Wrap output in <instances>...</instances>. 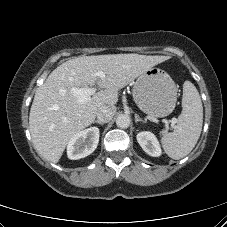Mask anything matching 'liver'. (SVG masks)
I'll return each instance as SVG.
<instances>
[{
    "instance_id": "1",
    "label": "liver",
    "mask_w": 227,
    "mask_h": 227,
    "mask_svg": "<svg viewBox=\"0 0 227 227\" xmlns=\"http://www.w3.org/2000/svg\"><path fill=\"white\" fill-rule=\"evenodd\" d=\"M167 59L139 54L93 55L58 66L36 90L31 106L29 127L36 150L57 163L69 140L93 123L101 106H114L120 89ZM99 71L104 72V78L97 76ZM94 85L102 90L84 103L71 92L72 88Z\"/></svg>"
}]
</instances>
